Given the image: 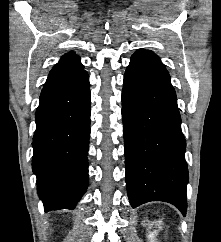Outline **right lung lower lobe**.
I'll use <instances>...</instances> for the list:
<instances>
[{
    "mask_svg": "<svg viewBox=\"0 0 221 242\" xmlns=\"http://www.w3.org/2000/svg\"><path fill=\"white\" fill-rule=\"evenodd\" d=\"M90 104L85 70L42 89L32 168L45 211L74 208L87 189Z\"/></svg>",
    "mask_w": 221,
    "mask_h": 242,
    "instance_id": "98d812e1",
    "label": "right lung lower lobe"
}]
</instances>
